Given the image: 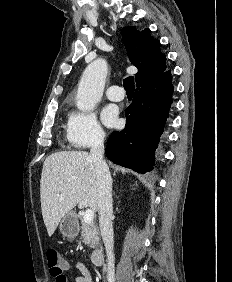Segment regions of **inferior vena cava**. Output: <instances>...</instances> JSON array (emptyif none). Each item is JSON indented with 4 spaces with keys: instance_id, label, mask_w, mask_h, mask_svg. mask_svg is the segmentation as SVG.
Returning a JSON list of instances; mask_svg holds the SVG:
<instances>
[{
    "instance_id": "inferior-vena-cava-1",
    "label": "inferior vena cava",
    "mask_w": 232,
    "mask_h": 282,
    "mask_svg": "<svg viewBox=\"0 0 232 282\" xmlns=\"http://www.w3.org/2000/svg\"><path fill=\"white\" fill-rule=\"evenodd\" d=\"M104 132H99L92 143L89 159L93 162L97 178V204L99 211V225L101 236L105 245L107 255V278L114 282V236L111 216L112 206V178L109 168L103 159L104 154Z\"/></svg>"
}]
</instances>
